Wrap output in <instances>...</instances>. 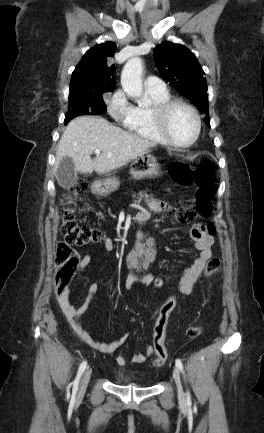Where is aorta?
I'll list each match as a JSON object with an SVG mask.
<instances>
[{
    "label": "aorta",
    "mask_w": 264,
    "mask_h": 433,
    "mask_svg": "<svg viewBox=\"0 0 264 433\" xmlns=\"http://www.w3.org/2000/svg\"><path fill=\"white\" fill-rule=\"evenodd\" d=\"M121 85L124 92L132 98H139L143 95L140 57H133L126 62L121 73Z\"/></svg>",
    "instance_id": "obj_1"
}]
</instances>
